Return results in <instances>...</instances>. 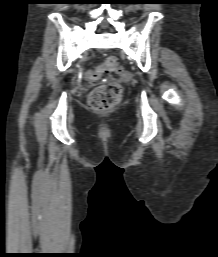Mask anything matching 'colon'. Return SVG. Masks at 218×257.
<instances>
[{
  "instance_id": "obj_1",
  "label": "colon",
  "mask_w": 218,
  "mask_h": 257,
  "mask_svg": "<svg viewBox=\"0 0 218 257\" xmlns=\"http://www.w3.org/2000/svg\"><path fill=\"white\" fill-rule=\"evenodd\" d=\"M118 73L117 79H133L132 70H123L118 59L109 56L89 72L88 79L91 84H96L105 74ZM122 95V87L117 83H107L97 86L89 95L88 107L96 112L107 111L116 106Z\"/></svg>"
}]
</instances>
